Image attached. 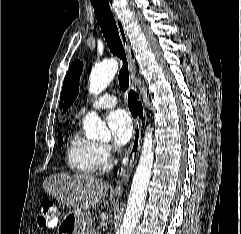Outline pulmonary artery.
<instances>
[{"label":"pulmonary artery","instance_id":"obj_1","mask_svg":"<svg viewBox=\"0 0 241 234\" xmlns=\"http://www.w3.org/2000/svg\"><path fill=\"white\" fill-rule=\"evenodd\" d=\"M117 104V98L115 95L104 93L99 96L91 105L92 109H107L112 108Z\"/></svg>","mask_w":241,"mask_h":234}]
</instances>
